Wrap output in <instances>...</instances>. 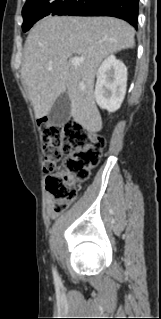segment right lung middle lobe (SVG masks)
<instances>
[{
  "mask_svg": "<svg viewBox=\"0 0 161 319\" xmlns=\"http://www.w3.org/2000/svg\"><path fill=\"white\" fill-rule=\"evenodd\" d=\"M86 0H27L23 7V31L49 15H68L79 9Z\"/></svg>",
  "mask_w": 161,
  "mask_h": 319,
  "instance_id": "obj_1",
  "label": "right lung middle lobe"
}]
</instances>
